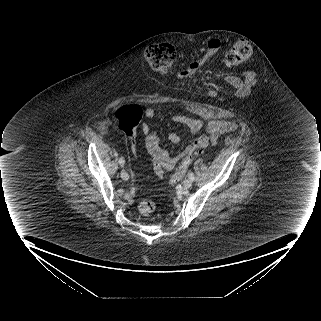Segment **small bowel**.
I'll return each mask as SVG.
<instances>
[{
  "mask_svg": "<svg viewBox=\"0 0 321 321\" xmlns=\"http://www.w3.org/2000/svg\"><path fill=\"white\" fill-rule=\"evenodd\" d=\"M221 47L222 43L219 39L213 38L209 40L205 54L200 59L190 62L189 65L178 74V78H187L204 68L214 56L218 54ZM227 81L230 84V88L235 90L237 95L242 96L252 90V85L256 83V75L254 73H247L243 79H241L236 75L231 74L228 76ZM154 115V109L147 108L145 110V118L147 120L152 119ZM172 120L186 126L192 133L203 131L207 143L209 142L211 144H216L224 133L236 129L235 123L224 119L210 120L205 123L200 119L175 115L172 117ZM141 131L146 135V147L151 156L154 169L159 175H162L165 170L173 169L183 157L189 156L197 148L195 146V141L176 155H171L162 148L158 135L151 131L148 123H142ZM168 139L171 143L178 144L181 142L182 137L178 133L171 132L168 135Z\"/></svg>",
  "mask_w": 321,
  "mask_h": 321,
  "instance_id": "obj_1",
  "label": "small bowel"
}]
</instances>
